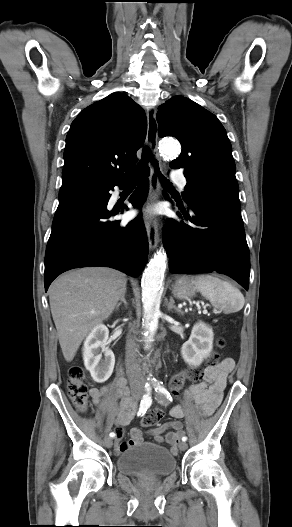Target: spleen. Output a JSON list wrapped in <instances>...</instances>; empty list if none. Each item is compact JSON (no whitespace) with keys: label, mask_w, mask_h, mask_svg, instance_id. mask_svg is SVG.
Segmentation results:
<instances>
[{"label":"spleen","mask_w":292,"mask_h":527,"mask_svg":"<svg viewBox=\"0 0 292 527\" xmlns=\"http://www.w3.org/2000/svg\"><path fill=\"white\" fill-rule=\"evenodd\" d=\"M191 283L212 306L226 312H237L244 306L242 293L227 281L213 275H198L191 278Z\"/></svg>","instance_id":"obj_1"}]
</instances>
